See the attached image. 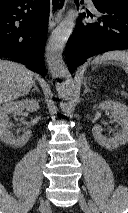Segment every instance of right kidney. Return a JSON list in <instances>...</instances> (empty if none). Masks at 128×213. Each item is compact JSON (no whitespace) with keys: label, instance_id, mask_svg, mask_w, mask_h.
Returning <instances> with one entry per match:
<instances>
[{"label":"right kidney","instance_id":"right-kidney-1","mask_svg":"<svg viewBox=\"0 0 128 213\" xmlns=\"http://www.w3.org/2000/svg\"><path fill=\"white\" fill-rule=\"evenodd\" d=\"M35 112L39 109L38 101L34 99H25L21 101H9L0 106V138L12 147L24 146L31 137V130H24L22 135H15L11 131L12 123L9 122L8 115L11 113L19 115L22 111Z\"/></svg>","mask_w":128,"mask_h":213}]
</instances>
